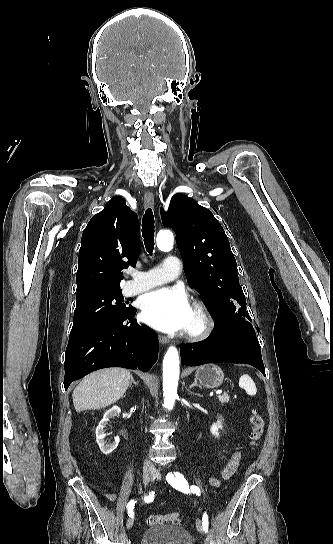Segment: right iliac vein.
<instances>
[{
  "label": "right iliac vein",
  "instance_id": "obj_1",
  "mask_svg": "<svg viewBox=\"0 0 333 544\" xmlns=\"http://www.w3.org/2000/svg\"><path fill=\"white\" fill-rule=\"evenodd\" d=\"M152 474L153 472L149 469H145L143 471V483L144 485H147L152 477ZM133 523H134V518L133 517H130L128 518L127 522H126V527L127 529H130L132 526H133Z\"/></svg>",
  "mask_w": 333,
  "mask_h": 544
}]
</instances>
